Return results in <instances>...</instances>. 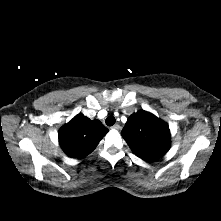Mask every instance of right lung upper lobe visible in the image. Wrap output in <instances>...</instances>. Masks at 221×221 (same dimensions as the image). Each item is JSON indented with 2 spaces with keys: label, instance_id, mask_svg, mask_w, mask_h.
<instances>
[{
  "label": "right lung upper lobe",
  "instance_id": "right-lung-upper-lobe-1",
  "mask_svg": "<svg viewBox=\"0 0 221 221\" xmlns=\"http://www.w3.org/2000/svg\"><path fill=\"white\" fill-rule=\"evenodd\" d=\"M107 132L99 120L78 114L59 130V144L69 157L80 159L90 154Z\"/></svg>",
  "mask_w": 221,
  "mask_h": 221
}]
</instances>
